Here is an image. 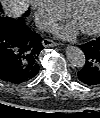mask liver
<instances>
[{"label":"liver","instance_id":"6515ba94","mask_svg":"<svg viewBox=\"0 0 100 118\" xmlns=\"http://www.w3.org/2000/svg\"><path fill=\"white\" fill-rule=\"evenodd\" d=\"M3 13L10 17L21 16L29 6V0H1Z\"/></svg>","mask_w":100,"mask_h":118}]
</instances>
